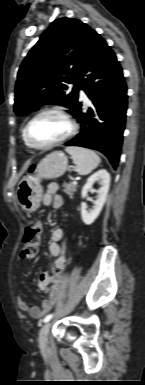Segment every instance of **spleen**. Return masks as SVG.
I'll return each mask as SVG.
<instances>
[{"mask_svg": "<svg viewBox=\"0 0 145 385\" xmlns=\"http://www.w3.org/2000/svg\"><path fill=\"white\" fill-rule=\"evenodd\" d=\"M65 151L71 155L80 175L91 173L101 162L100 157L93 150L87 148L68 146Z\"/></svg>", "mask_w": 145, "mask_h": 385, "instance_id": "obj_1", "label": "spleen"}]
</instances>
